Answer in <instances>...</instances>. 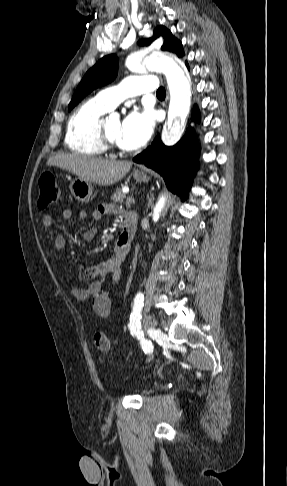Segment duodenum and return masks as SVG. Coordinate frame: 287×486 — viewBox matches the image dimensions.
<instances>
[{
    "mask_svg": "<svg viewBox=\"0 0 287 486\" xmlns=\"http://www.w3.org/2000/svg\"><path fill=\"white\" fill-rule=\"evenodd\" d=\"M137 229V218L132 214H127L124 218L123 230L116 242V246L120 251L129 248Z\"/></svg>",
    "mask_w": 287,
    "mask_h": 486,
    "instance_id": "1",
    "label": "duodenum"
}]
</instances>
